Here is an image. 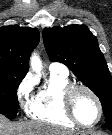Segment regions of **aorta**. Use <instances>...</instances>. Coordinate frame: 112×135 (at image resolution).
<instances>
[{"mask_svg":"<svg viewBox=\"0 0 112 135\" xmlns=\"http://www.w3.org/2000/svg\"><path fill=\"white\" fill-rule=\"evenodd\" d=\"M30 66L34 72L38 73L42 70V61L36 53L31 55Z\"/></svg>","mask_w":112,"mask_h":135,"instance_id":"obj_1","label":"aorta"}]
</instances>
